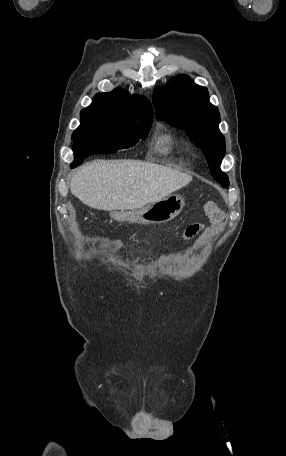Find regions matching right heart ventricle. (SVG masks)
<instances>
[{
    "label": "right heart ventricle",
    "mask_w": 286,
    "mask_h": 456,
    "mask_svg": "<svg viewBox=\"0 0 286 456\" xmlns=\"http://www.w3.org/2000/svg\"><path fill=\"white\" fill-rule=\"evenodd\" d=\"M178 147L179 144L177 139L169 132L161 135L155 144V150L162 155H173Z\"/></svg>",
    "instance_id": "1"
}]
</instances>
